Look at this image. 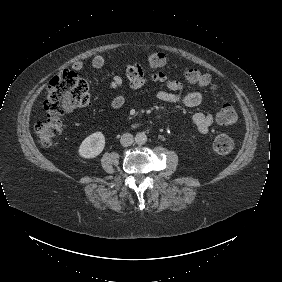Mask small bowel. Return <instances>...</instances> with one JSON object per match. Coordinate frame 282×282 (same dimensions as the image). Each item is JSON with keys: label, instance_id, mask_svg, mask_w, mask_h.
<instances>
[{"label": "small bowel", "instance_id": "c3829d8e", "mask_svg": "<svg viewBox=\"0 0 282 282\" xmlns=\"http://www.w3.org/2000/svg\"><path fill=\"white\" fill-rule=\"evenodd\" d=\"M91 65L95 69H100L105 65V58L102 55H95L91 60ZM83 68L84 63L82 61L74 62V70L80 71ZM126 73L131 89H138L147 82L162 83L166 89H160L155 94L156 99L161 103L196 107L202 102V94L200 92H185L181 82L169 77L165 73L145 74L138 63L127 64ZM109 86L112 90L119 92L111 99L110 107L114 110L121 109L127 101V95L121 92L124 86V77L119 74L115 75ZM192 120L198 132L205 135L209 132L214 116L210 111L197 112L193 115Z\"/></svg>", "mask_w": 282, "mask_h": 282}]
</instances>
